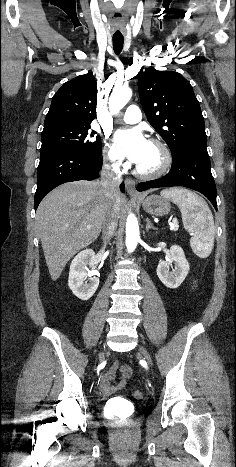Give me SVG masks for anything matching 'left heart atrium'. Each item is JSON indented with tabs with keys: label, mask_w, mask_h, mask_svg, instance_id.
I'll list each match as a JSON object with an SVG mask.
<instances>
[{
	"label": "left heart atrium",
	"mask_w": 236,
	"mask_h": 467,
	"mask_svg": "<svg viewBox=\"0 0 236 467\" xmlns=\"http://www.w3.org/2000/svg\"><path fill=\"white\" fill-rule=\"evenodd\" d=\"M115 145L119 155L138 164L143 159L149 141L138 128L120 129L114 135Z\"/></svg>",
	"instance_id": "39dd6f15"
}]
</instances>
